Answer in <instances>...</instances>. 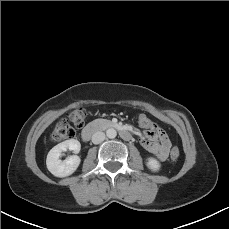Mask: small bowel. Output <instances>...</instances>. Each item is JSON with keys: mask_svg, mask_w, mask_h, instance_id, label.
<instances>
[{"mask_svg": "<svg viewBox=\"0 0 229 229\" xmlns=\"http://www.w3.org/2000/svg\"><path fill=\"white\" fill-rule=\"evenodd\" d=\"M140 125L146 129L140 143L145 150L153 154L159 161H165L169 155L171 142L160 128L155 126L145 115L139 117Z\"/></svg>", "mask_w": 229, "mask_h": 229, "instance_id": "1", "label": "small bowel"}]
</instances>
